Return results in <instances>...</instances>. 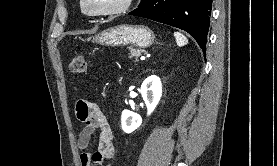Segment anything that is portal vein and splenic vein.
<instances>
[{
	"mask_svg": "<svg viewBox=\"0 0 277 166\" xmlns=\"http://www.w3.org/2000/svg\"><path fill=\"white\" fill-rule=\"evenodd\" d=\"M140 59H141V60H145V56H141Z\"/></svg>",
	"mask_w": 277,
	"mask_h": 166,
	"instance_id": "portal-vein-and-splenic-vein-1",
	"label": "portal vein and splenic vein"
}]
</instances>
